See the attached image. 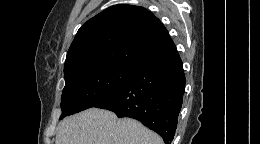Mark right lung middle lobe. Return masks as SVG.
<instances>
[{"mask_svg": "<svg viewBox=\"0 0 260 144\" xmlns=\"http://www.w3.org/2000/svg\"><path fill=\"white\" fill-rule=\"evenodd\" d=\"M133 71L131 68L102 64L65 75L60 119L96 106L116 92Z\"/></svg>", "mask_w": 260, "mask_h": 144, "instance_id": "right-lung-middle-lobe-1", "label": "right lung middle lobe"}]
</instances>
